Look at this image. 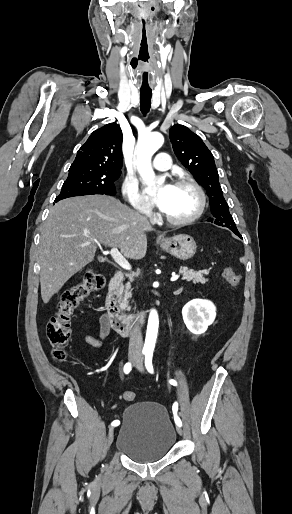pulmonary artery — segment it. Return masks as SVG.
<instances>
[{
	"instance_id": "obj_1",
	"label": "pulmonary artery",
	"mask_w": 292,
	"mask_h": 514,
	"mask_svg": "<svg viewBox=\"0 0 292 514\" xmlns=\"http://www.w3.org/2000/svg\"><path fill=\"white\" fill-rule=\"evenodd\" d=\"M145 150H143L144 152ZM154 157L157 161H155L152 165V168L155 172H170L172 169V160L171 153L169 151H156ZM159 160V161H158Z\"/></svg>"
}]
</instances>
